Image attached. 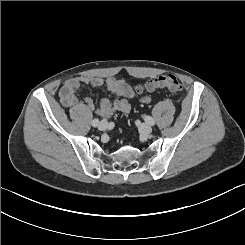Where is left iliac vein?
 Masks as SVG:
<instances>
[{
	"mask_svg": "<svg viewBox=\"0 0 245 245\" xmlns=\"http://www.w3.org/2000/svg\"><path fill=\"white\" fill-rule=\"evenodd\" d=\"M139 131L145 135H148L151 133L152 129L148 124L143 123L139 126Z\"/></svg>",
	"mask_w": 245,
	"mask_h": 245,
	"instance_id": "obj_1",
	"label": "left iliac vein"
}]
</instances>
